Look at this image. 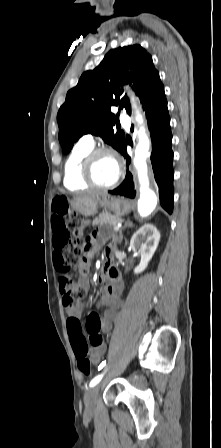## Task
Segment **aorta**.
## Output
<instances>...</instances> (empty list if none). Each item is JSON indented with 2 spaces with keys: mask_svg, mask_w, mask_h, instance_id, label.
<instances>
[{
  "mask_svg": "<svg viewBox=\"0 0 221 448\" xmlns=\"http://www.w3.org/2000/svg\"><path fill=\"white\" fill-rule=\"evenodd\" d=\"M131 100L133 104L134 102L133 96H131ZM136 119L139 124L143 123L142 116L139 114L138 110L136 111ZM138 136H139V142L135 149L133 163L137 169L140 183V198L138 200V212L142 217H145L155 209L157 205V196L149 188L146 159L149 155L150 140L143 126L140 127L138 131Z\"/></svg>",
  "mask_w": 221,
  "mask_h": 448,
  "instance_id": "1",
  "label": "aorta"
}]
</instances>
